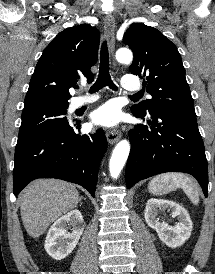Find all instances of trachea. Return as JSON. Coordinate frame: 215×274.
Masks as SVG:
<instances>
[{"mask_svg":"<svg viewBox=\"0 0 215 274\" xmlns=\"http://www.w3.org/2000/svg\"><path fill=\"white\" fill-rule=\"evenodd\" d=\"M105 86H109L112 90H116L117 87L111 80V76L109 73V53L106 41L103 42L100 53V67H99V75L91 87L90 92L94 93L99 91ZM139 93L134 94L132 97H140Z\"/></svg>","mask_w":215,"mask_h":274,"instance_id":"1","label":"trachea"}]
</instances>
